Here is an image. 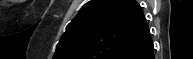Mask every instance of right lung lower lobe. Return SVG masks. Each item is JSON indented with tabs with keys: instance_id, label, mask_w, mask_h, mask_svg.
<instances>
[{
	"instance_id": "98d812e1",
	"label": "right lung lower lobe",
	"mask_w": 193,
	"mask_h": 59,
	"mask_svg": "<svg viewBox=\"0 0 193 59\" xmlns=\"http://www.w3.org/2000/svg\"><path fill=\"white\" fill-rule=\"evenodd\" d=\"M125 59H154L152 39L139 50L129 55Z\"/></svg>"
}]
</instances>
